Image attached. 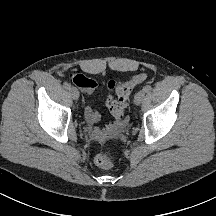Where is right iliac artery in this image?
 Here are the masks:
<instances>
[{
	"label": "right iliac artery",
	"mask_w": 216,
	"mask_h": 216,
	"mask_svg": "<svg viewBox=\"0 0 216 216\" xmlns=\"http://www.w3.org/2000/svg\"><path fill=\"white\" fill-rule=\"evenodd\" d=\"M63 87H64L65 89H70V88H71V85H70L69 83H67V82H64Z\"/></svg>",
	"instance_id": "right-iliac-artery-1"
}]
</instances>
